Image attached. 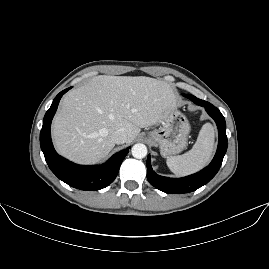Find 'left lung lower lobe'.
<instances>
[{
	"mask_svg": "<svg viewBox=\"0 0 269 269\" xmlns=\"http://www.w3.org/2000/svg\"><path fill=\"white\" fill-rule=\"evenodd\" d=\"M191 101L204 107L207 113L215 120L219 133L217 152L206 168L198 173L183 178H168L156 174L151 166L150 155H148L147 179L151 185L165 193H189L207 184L220 169L223 157L227 151L226 123L220 110L214 107L211 103L198 99L195 96L191 98Z\"/></svg>",
	"mask_w": 269,
	"mask_h": 269,
	"instance_id": "0a47b994",
	"label": "left lung lower lobe"
}]
</instances>
